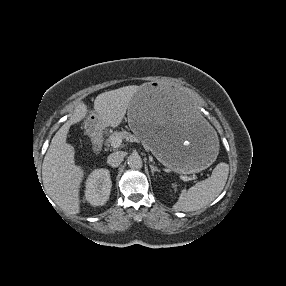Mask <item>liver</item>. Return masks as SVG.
<instances>
[{"instance_id": "6515ba94", "label": "liver", "mask_w": 286, "mask_h": 286, "mask_svg": "<svg viewBox=\"0 0 286 286\" xmlns=\"http://www.w3.org/2000/svg\"><path fill=\"white\" fill-rule=\"evenodd\" d=\"M139 86H125L98 95L94 101L96 130L118 127ZM87 109L76 110L73 116L56 132L42 164L43 186L48 196L65 212H80L79 189L84 170L75 164V148L67 143L71 125L80 122Z\"/></svg>"}]
</instances>
